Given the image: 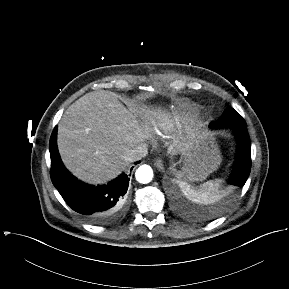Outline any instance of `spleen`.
Instances as JSON below:
<instances>
[{
  "label": "spleen",
  "mask_w": 289,
  "mask_h": 289,
  "mask_svg": "<svg viewBox=\"0 0 289 289\" xmlns=\"http://www.w3.org/2000/svg\"><path fill=\"white\" fill-rule=\"evenodd\" d=\"M220 181L221 180H219V179L208 181L204 184L203 187H204V189H206L208 191H215L220 186Z\"/></svg>",
  "instance_id": "3e777b00"
}]
</instances>
